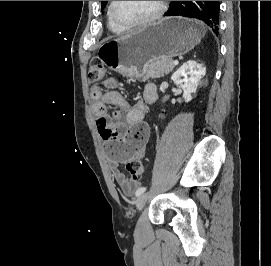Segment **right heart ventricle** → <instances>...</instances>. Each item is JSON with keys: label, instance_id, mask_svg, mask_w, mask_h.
Wrapping results in <instances>:
<instances>
[{"label": "right heart ventricle", "instance_id": "e07e8e85", "mask_svg": "<svg viewBox=\"0 0 271 266\" xmlns=\"http://www.w3.org/2000/svg\"><path fill=\"white\" fill-rule=\"evenodd\" d=\"M110 4H111V2L109 3V5H108V7H107V12H106L108 27H109V29H110L113 33H116V34L124 33L127 29H124V28L118 26V25L112 20V18H111V16H110Z\"/></svg>", "mask_w": 271, "mask_h": 266}]
</instances>
